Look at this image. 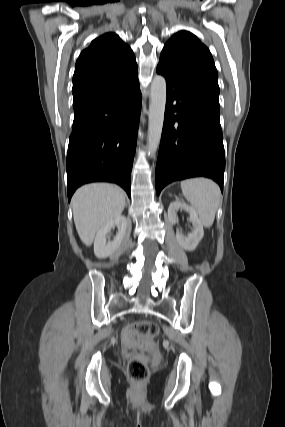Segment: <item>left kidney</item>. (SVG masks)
<instances>
[{
  "mask_svg": "<svg viewBox=\"0 0 285 427\" xmlns=\"http://www.w3.org/2000/svg\"><path fill=\"white\" fill-rule=\"evenodd\" d=\"M178 210H185L189 213L190 221L193 225V231L189 233L187 237H185L182 232L177 229V241L183 249L187 251H193L204 236L203 225L198 218L196 211L181 201L172 202L168 208V219L172 224H175L178 221Z\"/></svg>",
  "mask_w": 285,
  "mask_h": 427,
  "instance_id": "5707ae66",
  "label": "left kidney"
}]
</instances>
